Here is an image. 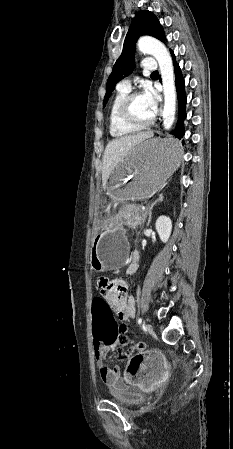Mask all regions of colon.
I'll list each match as a JSON object with an SVG mask.
<instances>
[{
  "instance_id": "obj_1",
  "label": "colon",
  "mask_w": 233,
  "mask_h": 449,
  "mask_svg": "<svg viewBox=\"0 0 233 449\" xmlns=\"http://www.w3.org/2000/svg\"><path fill=\"white\" fill-rule=\"evenodd\" d=\"M91 333L93 335L94 349H111L112 343H118L121 346L129 344L127 336L118 337L117 326L114 325V315L109 307V301L91 302ZM118 337V338H117ZM145 345L142 342L136 343L127 351L119 354L120 358H128L129 362L126 368L128 375H136L137 368H143L145 359Z\"/></svg>"
}]
</instances>
